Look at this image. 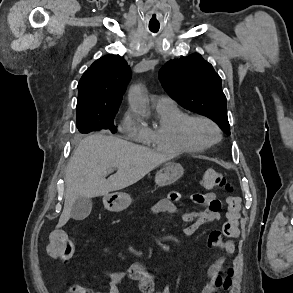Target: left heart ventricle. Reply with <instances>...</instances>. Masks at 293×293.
Masks as SVG:
<instances>
[{"instance_id": "1", "label": "left heart ventricle", "mask_w": 293, "mask_h": 293, "mask_svg": "<svg viewBox=\"0 0 293 293\" xmlns=\"http://www.w3.org/2000/svg\"><path fill=\"white\" fill-rule=\"evenodd\" d=\"M193 134L200 141H209L216 137L214 130L206 123L197 122L193 126Z\"/></svg>"}]
</instances>
